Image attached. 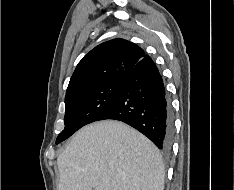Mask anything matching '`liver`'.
I'll use <instances>...</instances> for the list:
<instances>
[{
  "mask_svg": "<svg viewBox=\"0 0 234 190\" xmlns=\"http://www.w3.org/2000/svg\"><path fill=\"white\" fill-rule=\"evenodd\" d=\"M58 190H163L165 169L156 146L120 121L80 129L58 156Z\"/></svg>",
  "mask_w": 234,
  "mask_h": 190,
  "instance_id": "liver-1",
  "label": "liver"
}]
</instances>
